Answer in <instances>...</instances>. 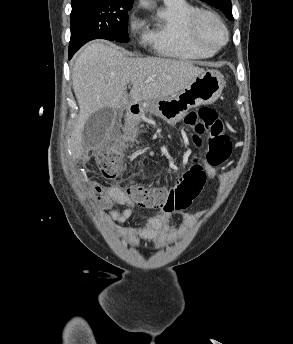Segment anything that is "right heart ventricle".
<instances>
[{"instance_id": "e07e8e85", "label": "right heart ventricle", "mask_w": 293, "mask_h": 344, "mask_svg": "<svg viewBox=\"0 0 293 344\" xmlns=\"http://www.w3.org/2000/svg\"><path fill=\"white\" fill-rule=\"evenodd\" d=\"M199 9L188 0L164 1L157 10L155 20L145 26L143 43L164 57L201 60L214 52L196 46L187 32L188 22Z\"/></svg>"}]
</instances>
